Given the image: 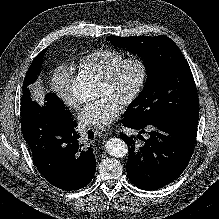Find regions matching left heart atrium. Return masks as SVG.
Masks as SVG:
<instances>
[{
	"mask_svg": "<svg viewBox=\"0 0 219 219\" xmlns=\"http://www.w3.org/2000/svg\"><path fill=\"white\" fill-rule=\"evenodd\" d=\"M121 103L110 95L88 104L79 114L78 120L83 127L101 128L112 124L121 112Z\"/></svg>",
	"mask_w": 219,
	"mask_h": 219,
	"instance_id": "39dd6f15",
	"label": "left heart atrium"
}]
</instances>
